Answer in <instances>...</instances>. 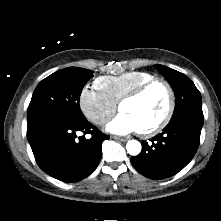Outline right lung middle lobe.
<instances>
[{
  "label": "right lung middle lobe",
  "mask_w": 221,
  "mask_h": 221,
  "mask_svg": "<svg viewBox=\"0 0 221 221\" xmlns=\"http://www.w3.org/2000/svg\"><path fill=\"white\" fill-rule=\"evenodd\" d=\"M91 70L68 67L43 79L36 87L27 110V122L49 115L84 116L79 99L93 76Z\"/></svg>",
  "instance_id": "obj_1"
}]
</instances>
